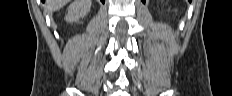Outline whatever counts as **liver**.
I'll list each match as a JSON object with an SVG mask.
<instances>
[{"label":"liver","mask_w":232,"mask_h":96,"mask_svg":"<svg viewBox=\"0 0 232 96\" xmlns=\"http://www.w3.org/2000/svg\"><path fill=\"white\" fill-rule=\"evenodd\" d=\"M70 0H46V8L52 12L61 9L66 5Z\"/></svg>","instance_id":"6515ba94"}]
</instances>
